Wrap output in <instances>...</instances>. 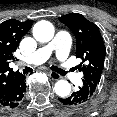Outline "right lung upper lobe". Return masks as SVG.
Instances as JSON below:
<instances>
[{"label":"right lung upper lobe","instance_id":"obj_1","mask_svg":"<svg viewBox=\"0 0 117 117\" xmlns=\"http://www.w3.org/2000/svg\"><path fill=\"white\" fill-rule=\"evenodd\" d=\"M32 20L19 22L15 19L6 20L0 24V97H2L14 80L23 76L13 72L9 63L14 59L21 38L29 31Z\"/></svg>","mask_w":117,"mask_h":117}]
</instances>
